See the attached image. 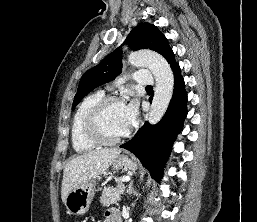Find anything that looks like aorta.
Here are the masks:
<instances>
[{"label":"aorta","instance_id":"762f6f07","mask_svg":"<svg viewBox=\"0 0 257 222\" xmlns=\"http://www.w3.org/2000/svg\"><path fill=\"white\" fill-rule=\"evenodd\" d=\"M128 61L134 67H148L155 77L156 87L148 121L156 124L165 114L173 94L174 77L170 65L161 55L147 50L132 52Z\"/></svg>","mask_w":257,"mask_h":222}]
</instances>
